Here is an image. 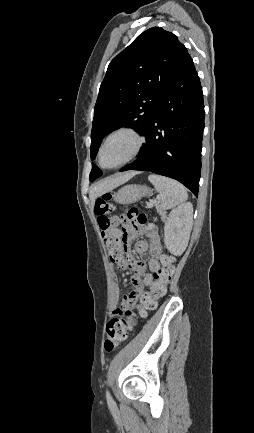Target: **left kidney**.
<instances>
[{"label": "left kidney", "mask_w": 254, "mask_h": 433, "mask_svg": "<svg viewBox=\"0 0 254 433\" xmlns=\"http://www.w3.org/2000/svg\"><path fill=\"white\" fill-rule=\"evenodd\" d=\"M193 206L190 202L173 209L164 226V243L168 251L180 256L185 251L193 224Z\"/></svg>", "instance_id": "obj_1"}]
</instances>
